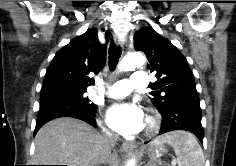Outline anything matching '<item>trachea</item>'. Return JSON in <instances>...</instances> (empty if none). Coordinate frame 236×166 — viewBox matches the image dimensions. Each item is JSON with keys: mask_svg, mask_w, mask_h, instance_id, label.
<instances>
[{"mask_svg": "<svg viewBox=\"0 0 236 166\" xmlns=\"http://www.w3.org/2000/svg\"><path fill=\"white\" fill-rule=\"evenodd\" d=\"M120 56H121V50L114 44H111L108 56L110 70H114L116 68Z\"/></svg>", "mask_w": 236, "mask_h": 166, "instance_id": "1", "label": "trachea"}]
</instances>
